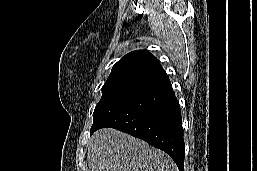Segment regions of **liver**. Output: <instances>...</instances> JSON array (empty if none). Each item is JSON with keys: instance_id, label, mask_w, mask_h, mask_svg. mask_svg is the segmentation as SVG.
Listing matches in <instances>:
<instances>
[{"instance_id": "liver-1", "label": "liver", "mask_w": 257, "mask_h": 171, "mask_svg": "<svg viewBox=\"0 0 257 171\" xmlns=\"http://www.w3.org/2000/svg\"><path fill=\"white\" fill-rule=\"evenodd\" d=\"M87 161L90 171H178L166 153L112 128L92 135Z\"/></svg>"}]
</instances>
